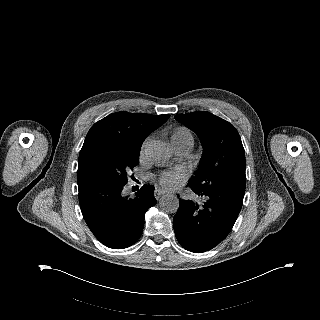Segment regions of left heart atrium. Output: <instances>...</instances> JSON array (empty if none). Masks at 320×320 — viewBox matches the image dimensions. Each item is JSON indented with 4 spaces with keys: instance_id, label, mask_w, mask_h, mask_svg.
Segmentation results:
<instances>
[{
    "instance_id": "39dd6f15",
    "label": "left heart atrium",
    "mask_w": 320,
    "mask_h": 320,
    "mask_svg": "<svg viewBox=\"0 0 320 320\" xmlns=\"http://www.w3.org/2000/svg\"><path fill=\"white\" fill-rule=\"evenodd\" d=\"M186 174L182 170L165 171L162 172L157 180L159 184L169 190L176 189L185 180Z\"/></svg>"
}]
</instances>
